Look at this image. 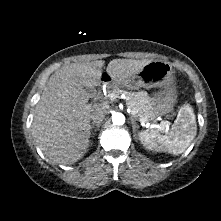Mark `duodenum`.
Masks as SVG:
<instances>
[{"label": "duodenum", "mask_w": 221, "mask_h": 221, "mask_svg": "<svg viewBox=\"0 0 221 221\" xmlns=\"http://www.w3.org/2000/svg\"><path fill=\"white\" fill-rule=\"evenodd\" d=\"M107 80H108V77H107V76H103L102 81H103V82H106Z\"/></svg>", "instance_id": "obj_1"}]
</instances>
